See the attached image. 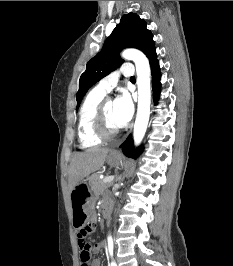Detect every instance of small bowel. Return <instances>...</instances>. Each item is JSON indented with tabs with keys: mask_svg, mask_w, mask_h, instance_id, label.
Wrapping results in <instances>:
<instances>
[{
	"mask_svg": "<svg viewBox=\"0 0 233 266\" xmlns=\"http://www.w3.org/2000/svg\"><path fill=\"white\" fill-rule=\"evenodd\" d=\"M93 220H95V218L93 217ZM104 244H96L93 247H91V251L94 253H98L101 251V249L103 248ZM88 266H101V261L98 258H95L92 260L91 263L88 264Z\"/></svg>",
	"mask_w": 233,
	"mask_h": 266,
	"instance_id": "small-bowel-1",
	"label": "small bowel"
}]
</instances>
